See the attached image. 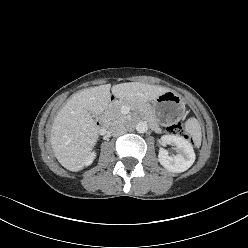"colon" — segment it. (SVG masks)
<instances>
[{
	"mask_svg": "<svg viewBox=\"0 0 248 248\" xmlns=\"http://www.w3.org/2000/svg\"><path fill=\"white\" fill-rule=\"evenodd\" d=\"M168 131L174 135H184L185 130L181 122H176L168 127Z\"/></svg>",
	"mask_w": 248,
	"mask_h": 248,
	"instance_id": "1",
	"label": "colon"
}]
</instances>
